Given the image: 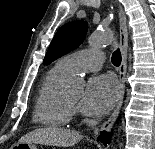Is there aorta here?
I'll return each instance as SVG.
<instances>
[{
  "mask_svg": "<svg viewBox=\"0 0 155 149\" xmlns=\"http://www.w3.org/2000/svg\"><path fill=\"white\" fill-rule=\"evenodd\" d=\"M113 42V36L110 31H104L95 33L89 36L88 43L92 48L102 47L109 45ZM69 87L72 89H79L81 87V81L73 80L69 83Z\"/></svg>",
  "mask_w": 155,
  "mask_h": 149,
  "instance_id": "aorta-1",
  "label": "aorta"
}]
</instances>
